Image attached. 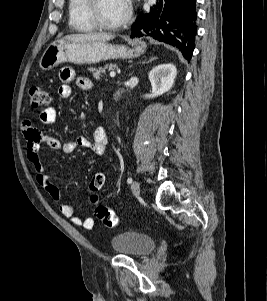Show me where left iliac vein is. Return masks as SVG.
<instances>
[{"label": "left iliac vein", "mask_w": 267, "mask_h": 301, "mask_svg": "<svg viewBox=\"0 0 267 301\" xmlns=\"http://www.w3.org/2000/svg\"><path fill=\"white\" fill-rule=\"evenodd\" d=\"M131 191H132V193H133L134 196H139V194H140V186H139V183L137 181H134L131 184Z\"/></svg>", "instance_id": "4c4485c4"}]
</instances>
